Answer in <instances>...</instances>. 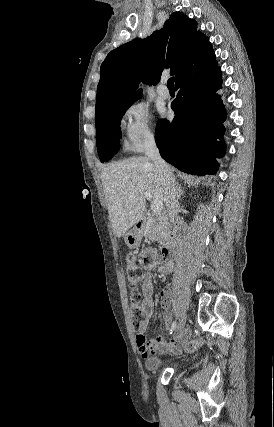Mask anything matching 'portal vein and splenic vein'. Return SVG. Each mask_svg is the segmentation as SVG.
<instances>
[{
	"instance_id": "obj_1",
	"label": "portal vein and splenic vein",
	"mask_w": 274,
	"mask_h": 427,
	"mask_svg": "<svg viewBox=\"0 0 274 427\" xmlns=\"http://www.w3.org/2000/svg\"><path fill=\"white\" fill-rule=\"evenodd\" d=\"M144 198H146V200H149V202H151V210L152 212H155V214H158V212H162V208H163V204L162 202H153V200H151V196L150 194H147V192H144Z\"/></svg>"
}]
</instances>
